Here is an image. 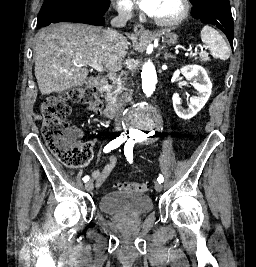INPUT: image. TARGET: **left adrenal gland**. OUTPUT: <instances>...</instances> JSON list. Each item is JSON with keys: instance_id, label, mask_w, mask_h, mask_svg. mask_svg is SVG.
Returning <instances> with one entry per match:
<instances>
[{"instance_id": "1", "label": "left adrenal gland", "mask_w": 256, "mask_h": 267, "mask_svg": "<svg viewBox=\"0 0 256 267\" xmlns=\"http://www.w3.org/2000/svg\"><path fill=\"white\" fill-rule=\"evenodd\" d=\"M164 56L165 58H175V56H171V54H168V52H165Z\"/></svg>"}]
</instances>
